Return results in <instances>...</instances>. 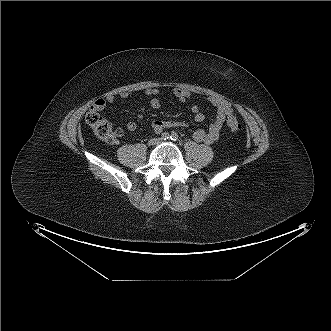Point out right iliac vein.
Instances as JSON below:
<instances>
[{
    "instance_id": "obj_1",
    "label": "right iliac vein",
    "mask_w": 331,
    "mask_h": 331,
    "mask_svg": "<svg viewBox=\"0 0 331 331\" xmlns=\"http://www.w3.org/2000/svg\"><path fill=\"white\" fill-rule=\"evenodd\" d=\"M157 143V140L152 139L149 141V145H155Z\"/></svg>"
}]
</instances>
